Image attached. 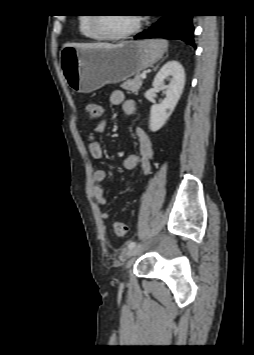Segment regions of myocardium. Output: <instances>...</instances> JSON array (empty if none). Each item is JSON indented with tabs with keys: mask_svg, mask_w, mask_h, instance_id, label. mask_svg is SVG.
<instances>
[{
	"mask_svg": "<svg viewBox=\"0 0 254 355\" xmlns=\"http://www.w3.org/2000/svg\"><path fill=\"white\" fill-rule=\"evenodd\" d=\"M102 22H103V18H101L99 16H95L92 18L91 25H92L94 32L100 37V39H104V40L118 41V40L127 39V38L135 35L141 27V19L139 16L136 17L135 24L132 28H130L129 30H127L123 33H120V34H112V33L105 31L103 28Z\"/></svg>",
	"mask_w": 254,
	"mask_h": 355,
	"instance_id": "f54148a6",
	"label": "myocardium"
}]
</instances>
